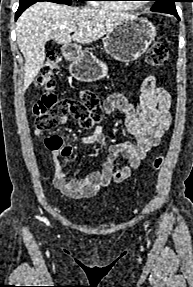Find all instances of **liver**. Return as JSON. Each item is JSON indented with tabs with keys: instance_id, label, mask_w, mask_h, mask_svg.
Segmentation results:
<instances>
[{
	"instance_id": "6515ba94",
	"label": "liver",
	"mask_w": 193,
	"mask_h": 287,
	"mask_svg": "<svg viewBox=\"0 0 193 287\" xmlns=\"http://www.w3.org/2000/svg\"><path fill=\"white\" fill-rule=\"evenodd\" d=\"M135 16L95 8H79L40 2L30 6L16 24L17 44L25 58V92L44 65L45 44L53 39L58 44L72 40L89 44L111 32L123 21ZM77 28L71 36L70 29Z\"/></svg>"
}]
</instances>
